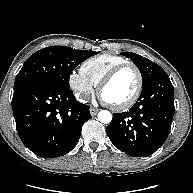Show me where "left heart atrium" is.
Segmentation results:
<instances>
[{
	"instance_id": "39dd6f15",
	"label": "left heart atrium",
	"mask_w": 193,
	"mask_h": 193,
	"mask_svg": "<svg viewBox=\"0 0 193 193\" xmlns=\"http://www.w3.org/2000/svg\"><path fill=\"white\" fill-rule=\"evenodd\" d=\"M101 99H102L104 102L108 103V102L106 101V99H105L104 97H102V95H101Z\"/></svg>"
}]
</instances>
